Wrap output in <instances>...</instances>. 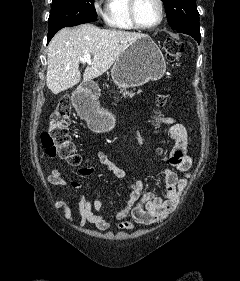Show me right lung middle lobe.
<instances>
[{
	"label": "right lung middle lobe",
	"mask_w": 240,
	"mask_h": 281,
	"mask_svg": "<svg viewBox=\"0 0 240 281\" xmlns=\"http://www.w3.org/2000/svg\"><path fill=\"white\" fill-rule=\"evenodd\" d=\"M93 0H53L48 19L49 32L47 40L63 27H71L96 21Z\"/></svg>",
	"instance_id": "dd1d6c3e"
}]
</instances>
